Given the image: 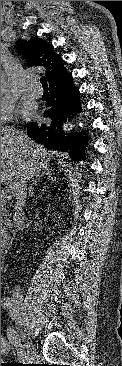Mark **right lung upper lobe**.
Listing matches in <instances>:
<instances>
[{
	"instance_id": "right-lung-upper-lobe-1",
	"label": "right lung upper lobe",
	"mask_w": 122,
	"mask_h": 366,
	"mask_svg": "<svg viewBox=\"0 0 122 366\" xmlns=\"http://www.w3.org/2000/svg\"><path fill=\"white\" fill-rule=\"evenodd\" d=\"M18 50L30 66L46 69L49 85L66 79L68 72L64 68V61L56 55L52 45L39 38H33L29 41L20 40Z\"/></svg>"
}]
</instances>
